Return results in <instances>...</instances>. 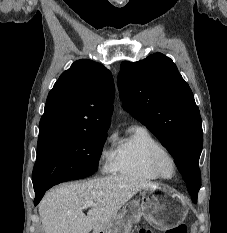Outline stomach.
<instances>
[{
	"mask_svg": "<svg viewBox=\"0 0 227 233\" xmlns=\"http://www.w3.org/2000/svg\"><path fill=\"white\" fill-rule=\"evenodd\" d=\"M185 200L166 187L145 189L141 200H131L100 230L101 233H130L143 216L152 226L168 231L186 218ZM99 232V233H100Z\"/></svg>",
	"mask_w": 227,
	"mask_h": 233,
	"instance_id": "1",
	"label": "stomach"
}]
</instances>
